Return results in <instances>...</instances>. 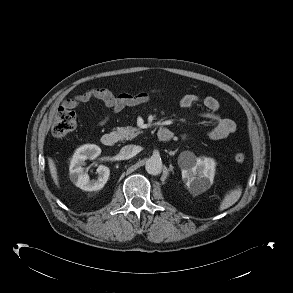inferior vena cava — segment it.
Here are the masks:
<instances>
[{
  "mask_svg": "<svg viewBox=\"0 0 293 293\" xmlns=\"http://www.w3.org/2000/svg\"><path fill=\"white\" fill-rule=\"evenodd\" d=\"M139 152V148L135 145H126L120 150V156L123 159H130Z\"/></svg>",
  "mask_w": 293,
  "mask_h": 293,
  "instance_id": "inferior-vena-cava-1",
  "label": "inferior vena cava"
}]
</instances>
